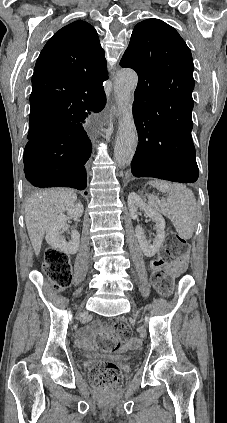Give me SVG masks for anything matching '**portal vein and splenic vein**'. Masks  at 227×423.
I'll return each instance as SVG.
<instances>
[{"instance_id": "1", "label": "portal vein and splenic vein", "mask_w": 227, "mask_h": 423, "mask_svg": "<svg viewBox=\"0 0 227 423\" xmlns=\"http://www.w3.org/2000/svg\"><path fill=\"white\" fill-rule=\"evenodd\" d=\"M162 203H165V200H162Z\"/></svg>"}]
</instances>
